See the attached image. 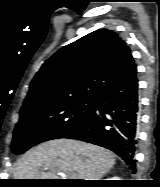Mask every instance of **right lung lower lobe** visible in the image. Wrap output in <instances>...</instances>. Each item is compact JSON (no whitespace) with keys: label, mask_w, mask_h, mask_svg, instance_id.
<instances>
[{"label":"right lung lower lobe","mask_w":160,"mask_h":187,"mask_svg":"<svg viewBox=\"0 0 160 187\" xmlns=\"http://www.w3.org/2000/svg\"><path fill=\"white\" fill-rule=\"evenodd\" d=\"M137 66L133 64L119 79L96 97L93 114L64 138L105 147L136 171L135 150L138 124Z\"/></svg>","instance_id":"right-lung-lower-lobe-1"}]
</instances>
